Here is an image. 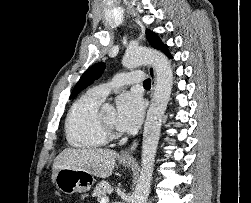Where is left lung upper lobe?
Here are the masks:
<instances>
[{
    "instance_id": "left-lung-upper-lobe-1",
    "label": "left lung upper lobe",
    "mask_w": 251,
    "mask_h": 203,
    "mask_svg": "<svg viewBox=\"0 0 251 203\" xmlns=\"http://www.w3.org/2000/svg\"><path fill=\"white\" fill-rule=\"evenodd\" d=\"M146 37L151 44L152 47L158 49V50H163L165 48V45H163V42L159 39V37L152 32L151 30H146ZM105 68L104 63H97L93 66H91L89 69H87L77 84L75 85L70 99L75 97L78 93H80L84 88L89 86L91 83L94 82V80L98 79L101 74L103 73Z\"/></svg>"
}]
</instances>
